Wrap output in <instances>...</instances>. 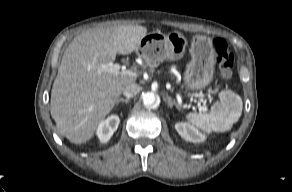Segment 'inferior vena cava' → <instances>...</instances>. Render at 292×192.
I'll return each mask as SVG.
<instances>
[{"mask_svg":"<svg viewBox=\"0 0 292 192\" xmlns=\"http://www.w3.org/2000/svg\"><path fill=\"white\" fill-rule=\"evenodd\" d=\"M140 91V87L135 83L127 84L123 89V94L126 98L134 97Z\"/></svg>","mask_w":292,"mask_h":192,"instance_id":"1","label":"inferior vena cava"}]
</instances>
